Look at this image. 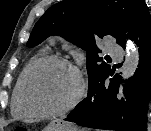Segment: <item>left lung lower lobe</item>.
I'll use <instances>...</instances> for the list:
<instances>
[{
  "label": "left lung lower lobe",
  "mask_w": 151,
  "mask_h": 131,
  "mask_svg": "<svg viewBox=\"0 0 151 131\" xmlns=\"http://www.w3.org/2000/svg\"><path fill=\"white\" fill-rule=\"evenodd\" d=\"M128 36L139 47V65L134 76L120 86L121 76L114 75L109 86L106 79L114 69L97 78L88 96L67 116L77 125L113 131H145L151 97V15L143 3ZM125 47V42L121 45Z\"/></svg>",
  "instance_id": "left-lung-lower-lobe-1"
}]
</instances>
